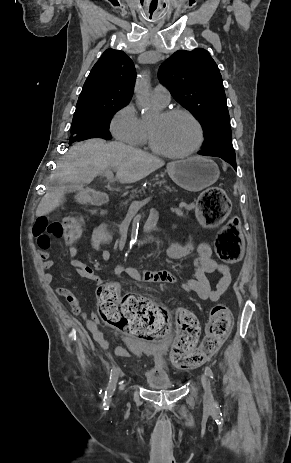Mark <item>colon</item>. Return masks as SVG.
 Returning <instances> with one entry per match:
<instances>
[{"instance_id": "1", "label": "colon", "mask_w": 291, "mask_h": 463, "mask_svg": "<svg viewBox=\"0 0 291 463\" xmlns=\"http://www.w3.org/2000/svg\"><path fill=\"white\" fill-rule=\"evenodd\" d=\"M231 202L221 187H210L198 198L196 212L205 227L220 224L228 215ZM83 225L76 216L62 221L49 222L39 217L34 225V236L52 235L74 240L81 236ZM215 249L218 258L228 264L240 261L242 255V235L240 221L232 218L219 231ZM98 313L103 322L127 334L148 340H160L170 329L168 312L148 299L129 295L122 297L117 282L109 281L96 290ZM177 334L170 351V361L178 369H192L202 365L219 348L233 326L232 312L225 305H215L206 325L205 337L200 347L198 320L192 312L178 309L174 313Z\"/></svg>"}]
</instances>
